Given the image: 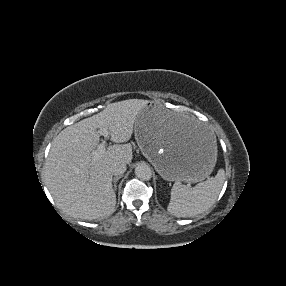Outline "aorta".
Instances as JSON below:
<instances>
[{"label": "aorta", "instance_id": "762f6f07", "mask_svg": "<svg viewBox=\"0 0 286 286\" xmlns=\"http://www.w3.org/2000/svg\"><path fill=\"white\" fill-rule=\"evenodd\" d=\"M135 175L140 180L148 181L152 177V170L147 164L139 163L135 167Z\"/></svg>", "mask_w": 286, "mask_h": 286}]
</instances>
